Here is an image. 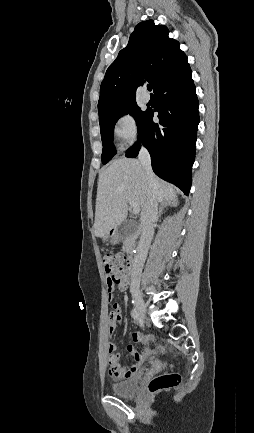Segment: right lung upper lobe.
<instances>
[{"label": "right lung upper lobe", "instance_id": "1", "mask_svg": "<svg viewBox=\"0 0 254 433\" xmlns=\"http://www.w3.org/2000/svg\"><path fill=\"white\" fill-rule=\"evenodd\" d=\"M166 26L140 22L128 44L108 67L100 86L99 114L136 102V91L146 81L155 91L187 58L179 42L168 37Z\"/></svg>", "mask_w": 254, "mask_h": 433}]
</instances>
